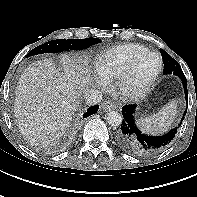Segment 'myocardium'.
I'll use <instances>...</instances> for the list:
<instances>
[{
    "instance_id": "myocardium-1",
    "label": "myocardium",
    "mask_w": 197,
    "mask_h": 197,
    "mask_svg": "<svg viewBox=\"0 0 197 197\" xmlns=\"http://www.w3.org/2000/svg\"><path fill=\"white\" fill-rule=\"evenodd\" d=\"M154 55L158 58L159 64L157 71L150 78V80L141 88L134 89L131 87V80L137 65L147 56ZM163 69L162 56L155 51H148L139 56H137L127 67L124 73L118 78L116 82V92L117 94L126 100H138L145 97L154 87L156 81L158 80Z\"/></svg>"
}]
</instances>
